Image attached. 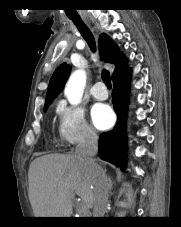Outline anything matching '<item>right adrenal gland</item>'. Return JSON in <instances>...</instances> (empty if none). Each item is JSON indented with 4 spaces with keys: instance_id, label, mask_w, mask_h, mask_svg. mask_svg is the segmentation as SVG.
<instances>
[{
    "instance_id": "2a0ac1e0",
    "label": "right adrenal gland",
    "mask_w": 181,
    "mask_h": 227,
    "mask_svg": "<svg viewBox=\"0 0 181 227\" xmlns=\"http://www.w3.org/2000/svg\"><path fill=\"white\" fill-rule=\"evenodd\" d=\"M108 182H109V185H110V189H112V181H111V178L108 176Z\"/></svg>"
}]
</instances>
